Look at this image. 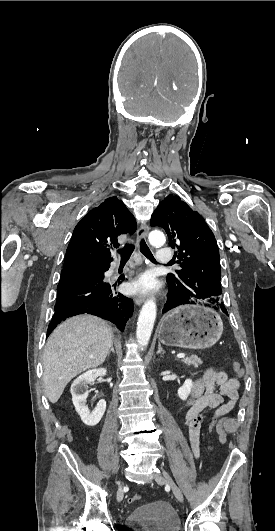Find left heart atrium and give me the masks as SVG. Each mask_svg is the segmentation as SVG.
I'll use <instances>...</instances> for the list:
<instances>
[{
	"instance_id": "obj_1",
	"label": "left heart atrium",
	"mask_w": 275,
	"mask_h": 531,
	"mask_svg": "<svg viewBox=\"0 0 275 531\" xmlns=\"http://www.w3.org/2000/svg\"><path fill=\"white\" fill-rule=\"evenodd\" d=\"M155 283L154 278L151 274L145 273L143 275H140L135 282L133 283V287L136 290L145 291L149 290L153 287Z\"/></svg>"
}]
</instances>
